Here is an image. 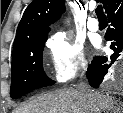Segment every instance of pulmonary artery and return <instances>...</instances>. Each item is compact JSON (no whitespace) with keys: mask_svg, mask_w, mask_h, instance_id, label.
<instances>
[{"mask_svg":"<svg viewBox=\"0 0 123 113\" xmlns=\"http://www.w3.org/2000/svg\"><path fill=\"white\" fill-rule=\"evenodd\" d=\"M87 26H88L89 30L94 31V32L98 31L100 28L98 20L94 17H91L88 20Z\"/></svg>","mask_w":123,"mask_h":113,"instance_id":"pulmonary-artery-1","label":"pulmonary artery"}]
</instances>
